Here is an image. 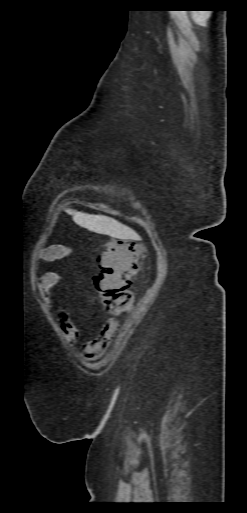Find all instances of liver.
I'll list each match as a JSON object with an SVG mask.
<instances>
[{"instance_id":"obj_1","label":"liver","mask_w":247,"mask_h":513,"mask_svg":"<svg viewBox=\"0 0 247 513\" xmlns=\"http://www.w3.org/2000/svg\"><path fill=\"white\" fill-rule=\"evenodd\" d=\"M65 212L72 215L73 221L77 225L91 232L109 235L118 239H134L137 236L133 229L111 217L87 214L71 208H66Z\"/></svg>"}]
</instances>
